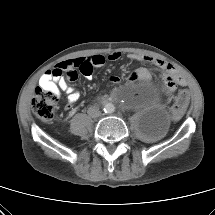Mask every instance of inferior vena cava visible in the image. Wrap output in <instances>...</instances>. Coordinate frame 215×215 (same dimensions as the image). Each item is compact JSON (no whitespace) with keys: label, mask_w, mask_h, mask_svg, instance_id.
Returning a JSON list of instances; mask_svg holds the SVG:
<instances>
[{"label":"inferior vena cava","mask_w":215,"mask_h":215,"mask_svg":"<svg viewBox=\"0 0 215 215\" xmlns=\"http://www.w3.org/2000/svg\"><path fill=\"white\" fill-rule=\"evenodd\" d=\"M87 113L92 118L101 116V111L95 106L89 107Z\"/></svg>","instance_id":"1"}]
</instances>
